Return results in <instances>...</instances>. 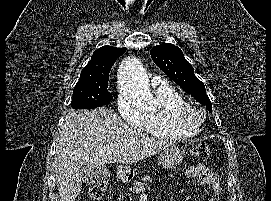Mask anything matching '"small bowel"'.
Listing matches in <instances>:
<instances>
[{
  "instance_id": "1",
  "label": "small bowel",
  "mask_w": 271,
  "mask_h": 201,
  "mask_svg": "<svg viewBox=\"0 0 271 201\" xmlns=\"http://www.w3.org/2000/svg\"><path fill=\"white\" fill-rule=\"evenodd\" d=\"M186 177L189 180L197 179L202 184L212 188L217 196L221 194V186L218 175L202 164L190 167L186 172Z\"/></svg>"
}]
</instances>
